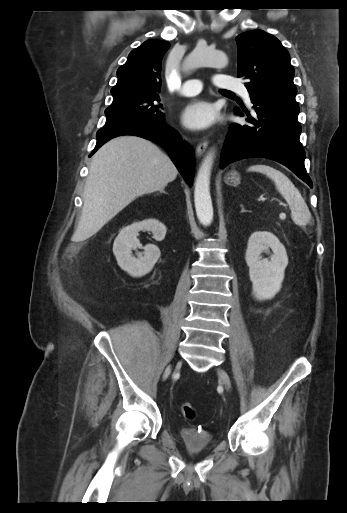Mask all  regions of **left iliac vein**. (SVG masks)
Returning a JSON list of instances; mask_svg holds the SVG:
<instances>
[{
    "label": "left iliac vein",
    "mask_w": 347,
    "mask_h": 513,
    "mask_svg": "<svg viewBox=\"0 0 347 513\" xmlns=\"http://www.w3.org/2000/svg\"><path fill=\"white\" fill-rule=\"evenodd\" d=\"M217 373H218V376H219L220 380L222 381L223 385L225 386V388L228 391H230L231 390V381H230V377L227 374V372L224 371L223 369H218Z\"/></svg>",
    "instance_id": "1"
}]
</instances>
